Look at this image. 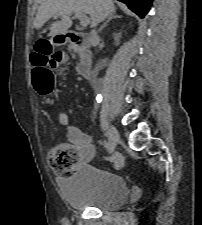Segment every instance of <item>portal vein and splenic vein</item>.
Segmentation results:
<instances>
[{
	"label": "portal vein and splenic vein",
	"mask_w": 202,
	"mask_h": 225,
	"mask_svg": "<svg viewBox=\"0 0 202 225\" xmlns=\"http://www.w3.org/2000/svg\"><path fill=\"white\" fill-rule=\"evenodd\" d=\"M74 17H76L80 20V24H81L82 27H86L90 23L89 17L86 16L85 14H83V13H79V12L74 13Z\"/></svg>",
	"instance_id": "1"
}]
</instances>
